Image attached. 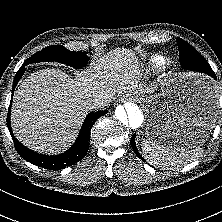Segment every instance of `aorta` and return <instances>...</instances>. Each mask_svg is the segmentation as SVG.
I'll return each instance as SVG.
<instances>
[{"label":"aorta","mask_w":222,"mask_h":222,"mask_svg":"<svg viewBox=\"0 0 222 222\" xmlns=\"http://www.w3.org/2000/svg\"><path fill=\"white\" fill-rule=\"evenodd\" d=\"M115 117L123 128L130 130L139 128L144 121L141 108L129 101L116 107Z\"/></svg>","instance_id":"obj_1"}]
</instances>
